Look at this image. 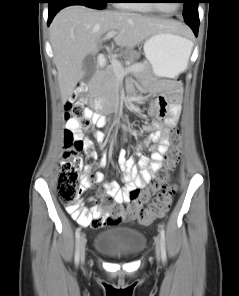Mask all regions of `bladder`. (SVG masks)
Instances as JSON below:
<instances>
[{"label": "bladder", "mask_w": 239, "mask_h": 296, "mask_svg": "<svg viewBox=\"0 0 239 296\" xmlns=\"http://www.w3.org/2000/svg\"><path fill=\"white\" fill-rule=\"evenodd\" d=\"M94 249L111 260H130L145 248V235L131 227L117 226L100 231L94 239Z\"/></svg>", "instance_id": "bladder-1"}]
</instances>
